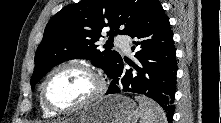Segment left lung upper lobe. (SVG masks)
<instances>
[{
	"label": "left lung upper lobe",
	"mask_w": 221,
	"mask_h": 123,
	"mask_svg": "<svg viewBox=\"0 0 221 123\" xmlns=\"http://www.w3.org/2000/svg\"><path fill=\"white\" fill-rule=\"evenodd\" d=\"M155 0H81L68 5L48 22L35 55L31 87L54 66L71 60L87 59L110 76L121 58L109 44L115 33L129 35ZM110 27L109 40L100 49L101 30Z\"/></svg>",
	"instance_id": "obj_1"
}]
</instances>
